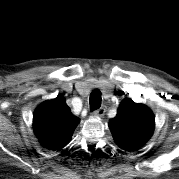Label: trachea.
Listing matches in <instances>:
<instances>
[{
  "mask_svg": "<svg viewBox=\"0 0 179 179\" xmlns=\"http://www.w3.org/2000/svg\"><path fill=\"white\" fill-rule=\"evenodd\" d=\"M101 92L98 89H95L91 92L90 94V110L94 111L97 110L98 108H100L101 106Z\"/></svg>",
  "mask_w": 179,
  "mask_h": 179,
  "instance_id": "3493384b",
  "label": "trachea"
}]
</instances>
